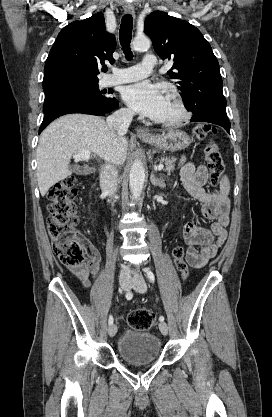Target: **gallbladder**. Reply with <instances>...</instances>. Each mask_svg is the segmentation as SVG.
I'll use <instances>...</instances> for the list:
<instances>
[{"mask_svg": "<svg viewBox=\"0 0 272 417\" xmlns=\"http://www.w3.org/2000/svg\"><path fill=\"white\" fill-rule=\"evenodd\" d=\"M72 171L77 175H84L87 173V170L84 167L78 165L72 166Z\"/></svg>", "mask_w": 272, "mask_h": 417, "instance_id": "obj_1", "label": "gallbladder"}]
</instances>
